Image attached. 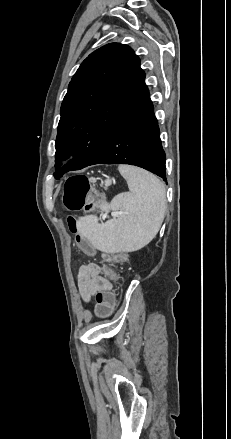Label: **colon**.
<instances>
[{
  "mask_svg": "<svg viewBox=\"0 0 231 439\" xmlns=\"http://www.w3.org/2000/svg\"><path fill=\"white\" fill-rule=\"evenodd\" d=\"M63 204L70 211H77L84 209L87 213H92L96 209V201L91 194L90 182L88 177L84 175H75L67 179L63 189ZM68 225L70 231L75 235L76 242L82 252L87 254L88 259H97L98 251L94 249L91 242L79 233L78 221L75 217L68 218ZM127 255L119 253L117 255L118 261H125ZM104 271L111 280L114 276L112 270L104 266ZM100 293L95 295V309L94 316L97 321H108L116 310L117 295L114 291H110L108 287H101Z\"/></svg>",
  "mask_w": 231,
  "mask_h": 439,
  "instance_id": "5ec220e1",
  "label": "colon"
}]
</instances>
